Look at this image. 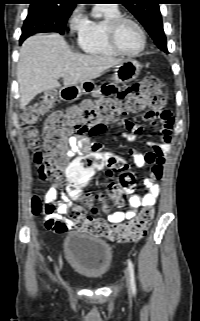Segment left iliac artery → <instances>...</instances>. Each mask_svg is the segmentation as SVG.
I'll list each match as a JSON object with an SVG mask.
<instances>
[{
  "instance_id": "left-iliac-artery-1",
  "label": "left iliac artery",
  "mask_w": 200,
  "mask_h": 321,
  "mask_svg": "<svg viewBox=\"0 0 200 321\" xmlns=\"http://www.w3.org/2000/svg\"><path fill=\"white\" fill-rule=\"evenodd\" d=\"M128 270H129V274H130L132 292L135 294L136 293V283H135V275H134V265L130 259L128 260Z\"/></svg>"
}]
</instances>
